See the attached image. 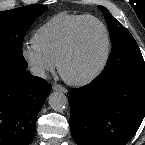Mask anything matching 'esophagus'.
<instances>
[{
    "instance_id": "34e87169",
    "label": "esophagus",
    "mask_w": 145,
    "mask_h": 145,
    "mask_svg": "<svg viewBox=\"0 0 145 145\" xmlns=\"http://www.w3.org/2000/svg\"><path fill=\"white\" fill-rule=\"evenodd\" d=\"M52 89H53V91H59V92L67 93V89L60 84H54L52 86Z\"/></svg>"
}]
</instances>
